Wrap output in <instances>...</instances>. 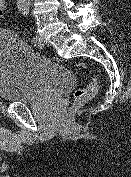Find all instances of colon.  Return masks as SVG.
<instances>
[{"mask_svg":"<svg viewBox=\"0 0 131 177\" xmlns=\"http://www.w3.org/2000/svg\"><path fill=\"white\" fill-rule=\"evenodd\" d=\"M6 8V0H0V16L3 15V12ZM98 90V81L96 78L91 77L89 83L85 87L77 88L74 91V104L75 106H79L82 103L93 98Z\"/></svg>","mask_w":131,"mask_h":177,"instance_id":"5ec220e1","label":"colon"}]
</instances>
